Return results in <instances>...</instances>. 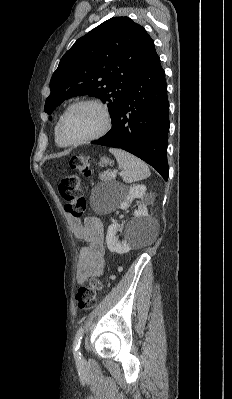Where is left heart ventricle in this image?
<instances>
[{"mask_svg":"<svg viewBox=\"0 0 232 399\" xmlns=\"http://www.w3.org/2000/svg\"><path fill=\"white\" fill-rule=\"evenodd\" d=\"M104 118L101 110L93 105L74 107L66 116L64 131L73 140L87 138L97 133L103 126Z\"/></svg>","mask_w":232,"mask_h":399,"instance_id":"b2bd125f","label":"left heart ventricle"}]
</instances>
